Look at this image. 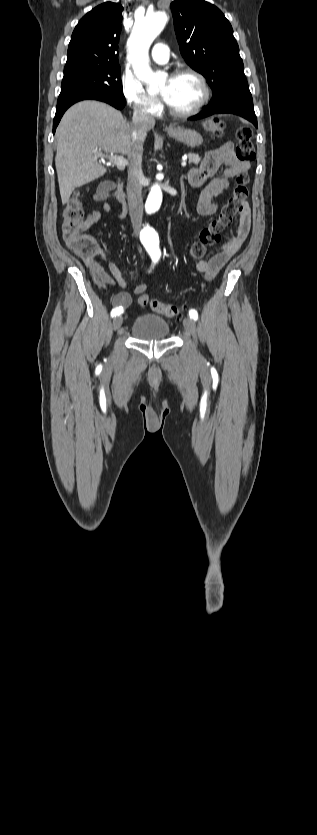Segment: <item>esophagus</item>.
<instances>
[{"label": "esophagus", "mask_w": 317, "mask_h": 835, "mask_svg": "<svg viewBox=\"0 0 317 835\" xmlns=\"http://www.w3.org/2000/svg\"><path fill=\"white\" fill-rule=\"evenodd\" d=\"M166 129L170 131V130H173L174 128L172 126H169Z\"/></svg>", "instance_id": "esophagus-1"}]
</instances>
